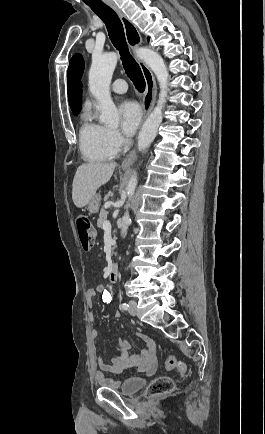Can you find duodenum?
Returning <instances> with one entry per match:
<instances>
[{"label": "duodenum", "mask_w": 265, "mask_h": 434, "mask_svg": "<svg viewBox=\"0 0 265 434\" xmlns=\"http://www.w3.org/2000/svg\"><path fill=\"white\" fill-rule=\"evenodd\" d=\"M119 270H120L119 263L115 262V263H112L110 265V267H109V273H108V281L110 283H115L118 280Z\"/></svg>", "instance_id": "410a0bca"}]
</instances>
